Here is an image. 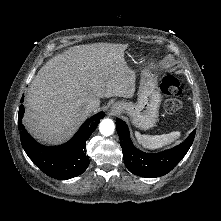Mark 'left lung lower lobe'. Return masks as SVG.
Returning <instances> with one entry per match:
<instances>
[{
  "label": "left lung lower lobe",
  "mask_w": 221,
  "mask_h": 221,
  "mask_svg": "<svg viewBox=\"0 0 221 221\" xmlns=\"http://www.w3.org/2000/svg\"><path fill=\"white\" fill-rule=\"evenodd\" d=\"M116 128L127 169L146 178L159 177L170 172L188 152L196 132L194 130L184 142L172 149L160 153H144L133 145L126 123L117 119Z\"/></svg>",
  "instance_id": "left-lung-lower-lobe-1"
}]
</instances>
